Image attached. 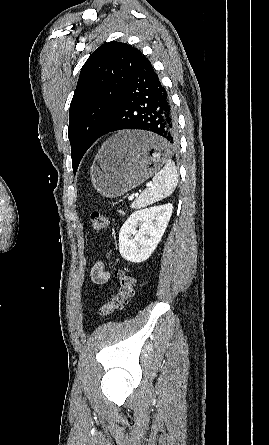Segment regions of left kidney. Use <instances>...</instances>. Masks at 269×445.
Returning a JSON list of instances; mask_svg holds the SVG:
<instances>
[{"instance_id": "left-kidney-1", "label": "left kidney", "mask_w": 269, "mask_h": 445, "mask_svg": "<svg viewBox=\"0 0 269 445\" xmlns=\"http://www.w3.org/2000/svg\"><path fill=\"white\" fill-rule=\"evenodd\" d=\"M172 210V204H165L131 214L119 233L121 256L134 263L147 260L160 242L172 215ZM138 226H140L139 230H137Z\"/></svg>"}]
</instances>
